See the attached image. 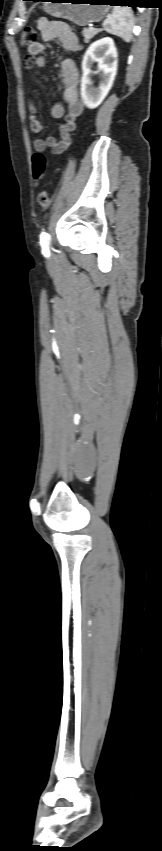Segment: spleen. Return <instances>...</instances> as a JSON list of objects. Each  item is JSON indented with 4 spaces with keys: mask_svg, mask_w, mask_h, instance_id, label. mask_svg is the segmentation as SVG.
<instances>
[{
    "mask_svg": "<svg viewBox=\"0 0 162 851\" xmlns=\"http://www.w3.org/2000/svg\"><path fill=\"white\" fill-rule=\"evenodd\" d=\"M133 14L128 7L115 6L111 16L103 22V28L110 34L130 42L132 38Z\"/></svg>",
    "mask_w": 162,
    "mask_h": 851,
    "instance_id": "3e777b00",
    "label": "spleen"
}]
</instances>
